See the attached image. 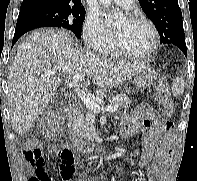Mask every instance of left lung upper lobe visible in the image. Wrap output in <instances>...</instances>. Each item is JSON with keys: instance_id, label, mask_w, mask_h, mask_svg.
Returning <instances> with one entry per match:
<instances>
[{"instance_id": "obj_1", "label": "left lung upper lobe", "mask_w": 197, "mask_h": 181, "mask_svg": "<svg viewBox=\"0 0 197 181\" xmlns=\"http://www.w3.org/2000/svg\"><path fill=\"white\" fill-rule=\"evenodd\" d=\"M142 10L155 25L160 42L186 45L182 25V12L178 0H138Z\"/></svg>"}]
</instances>
